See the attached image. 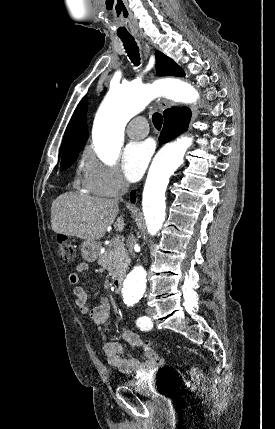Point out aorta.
Instances as JSON below:
<instances>
[{
  "label": "aorta",
  "mask_w": 275,
  "mask_h": 429,
  "mask_svg": "<svg viewBox=\"0 0 275 429\" xmlns=\"http://www.w3.org/2000/svg\"><path fill=\"white\" fill-rule=\"evenodd\" d=\"M159 94L175 101L194 103L199 94L182 81H164L157 85L129 83L112 86L102 102L93 126L95 152L106 163L115 162L124 140L126 123L141 112ZM192 143V137H181L165 145L151 166L143 191V214L148 232L155 235L165 221V192L169 178L183 163L185 151ZM147 284V273L137 266L127 275L122 296L126 302L142 297Z\"/></svg>",
  "instance_id": "762f6f07"
}]
</instances>
